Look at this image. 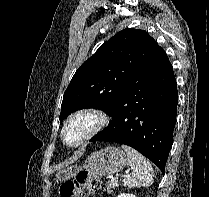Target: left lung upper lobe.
I'll return each mask as SVG.
<instances>
[{"label": "left lung upper lobe", "mask_w": 209, "mask_h": 197, "mask_svg": "<svg viewBox=\"0 0 209 197\" xmlns=\"http://www.w3.org/2000/svg\"><path fill=\"white\" fill-rule=\"evenodd\" d=\"M162 50L146 31L127 28L118 32L75 72L63 96L60 122L84 108L110 114Z\"/></svg>", "instance_id": "5c2ea615"}]
</instances>
